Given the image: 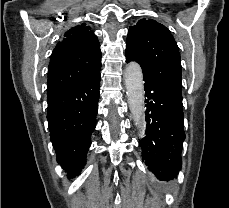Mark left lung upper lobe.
<instances>
[{"instance_id":"1","label":"left lung upper lobe","mask_w":229,"mask_h":208,"mask_svg":"<svg viewBox=\"0 0 229 208\" xmlns=\"http://www.w3.org/2000/svg\"><path fill=\"white\" fill-rule=\"evenodd\" d=\"M137 61L144 81L182 101L179 48L167 27L152 19L130 26L126 40V62Z\"/></svg>"}]
</instances>
